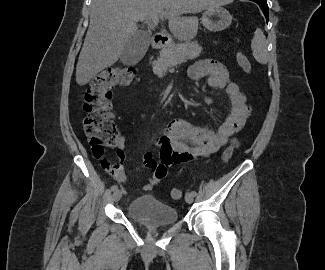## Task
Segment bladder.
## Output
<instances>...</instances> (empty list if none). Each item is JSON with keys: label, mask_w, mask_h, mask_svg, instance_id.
<instances>
[{"label": "bladder", "mask_w": 325, "mask_h": 270, "mask_svg": "<svg viewBox=\"0 0 325 270\" xmlns=\"http://www.w3.org/2000/svg\"><path fill=\"white\" fill-rule=\"evenodd\" d=\"M128 217L149 227L168 226L178 221L176 209L153 195H142L132 200L126 208Z\"/></svg>", "instance_id": "1"}]
</instances>
